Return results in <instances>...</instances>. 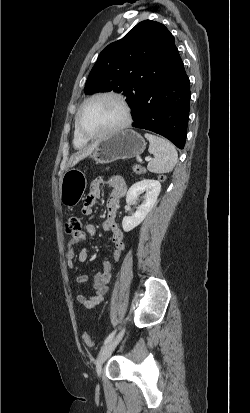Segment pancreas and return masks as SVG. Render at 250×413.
Listing matches in <instances>:
<instances>
[{
	"label": "pancreas",
	"instance_id": "obj_1",
	"mask_svg": "<svg viewBox=\"0 0 250 413\" xmlns=\"http://www.w3.org/2000/svg\"><path fill=\"white\" fill-rule=\"evenodd\" d=\"M137 169H140L139 171H137ZM134 172L137 174H141L143 172V168L139 167V166H134L133 168Z\"/></svg>",
	"mask_w": 250,
	"mask_h": 413
}]
</instances>
